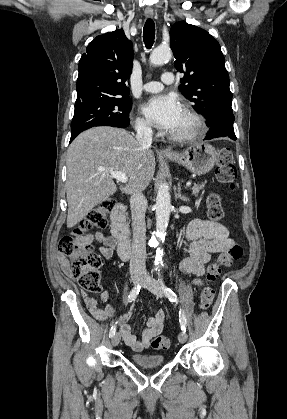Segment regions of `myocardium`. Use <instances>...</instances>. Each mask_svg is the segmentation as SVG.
<instances>
[{"label":"myocardium","instance_id":"f54148a6","mask_svg":"<svg viewBox=\"0 0 287 419\" xmlns=\"http://www.w3.org/2000/svg\"><path fill=\"white\" fill-rule=\"evenodd\" d=\"M184 114L192 122V127L182 133H171L170 138L178 142H187L203 136L206 133V124L201 115L192 109H185Z\"/></svg>","mask_w":287,"mask_h":419}]
</instances>
